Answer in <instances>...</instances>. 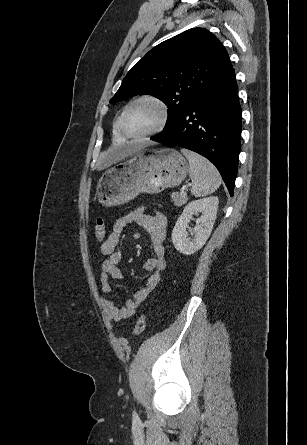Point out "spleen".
<instances>
[{
    "mask_svg": "<svg viewBox=\"0 0 307 445\" xmlns=\"http://www.w3.org/2000/svg\"><path fill=\"white\" fill-rule=\"evenodd\" d=\"M181 152L185 154L189 162V176L192 180L191 192L194 196H207L211 192H215L221 184L220 172L216 166L193 150L181 148Z\"/></svg>",
    "mask_w": 307,
    "mask_h": 445,
    "instance_id": "1",
    "label": "spleen"
}]
</instances>
